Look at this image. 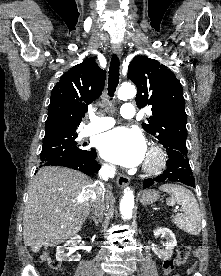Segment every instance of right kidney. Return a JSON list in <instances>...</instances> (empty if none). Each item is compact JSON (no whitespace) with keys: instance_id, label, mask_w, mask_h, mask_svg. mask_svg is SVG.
<instances>
[{"instance_id":"1","label":"right kidney","mask_w":221,"mask_h":276,"mask_svg":"<svg viewBox=\"0 0 221 276\" xmlns=\"http://www.w3.org/2000/svg\"><path fill=\"white\" fill-rule=\"evenodd\" d=\"M81 242V237L80 236H75L68 240L64 246H58L56 250V260L59 262L62 261H80L81 255L77 254L72 257H68L65 253V250L70 246V247H76L79 243Z\"/></svg>"}]
</instances>
